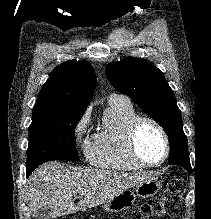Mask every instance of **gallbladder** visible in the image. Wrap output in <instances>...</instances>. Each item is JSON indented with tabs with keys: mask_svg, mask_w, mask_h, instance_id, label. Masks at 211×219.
Here are the masks:
<instances>
[{
	"mask_svg": "<svg viewBox=\"0 0 211 219\" xmlns=\"http://www.w3.org/2000/svg\"><path fill=\"white\" fill-rule=\"evenodd\" d=\"M35 219H51L50 211L47 207H42L38 210Z\"/></svg>",
	"mask_w": 211,
	"mask_h": 219,
	"instance_id": "obj_1",
	"label": "gallbladder"
}]
</instances>
